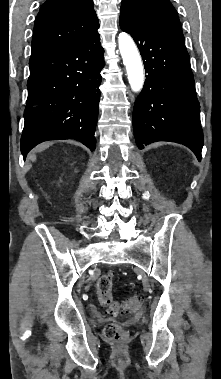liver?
Segmentation results:
<instances>
[{"label":"liver","instance_id":"1","mask_svg":"<svg viewBox=\"0 0 221 379\" xmlns=\"http://www.w3.org/2000/svg\"><path fill=\"white\" fill-rule=\"evenodd\" d=\"M53 144V142H45V143H42V144H40L39 146H37L36 148H35V151L36 152H40V151H43V150H45L46 148H48L50 145H52Z\"/></svg>","mask_w":221,"mask_h":379}]
</instances>
